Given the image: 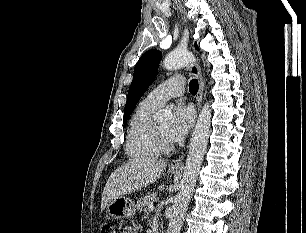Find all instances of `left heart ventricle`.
Masks as SVG:
<instances>
[{"mask_svg":"<svg viewBox=\"0 0 306 233\" xmlns=\"http://www.w3.org/2000/svg\"><path fill=\"white\" fill-rule=\"evenodd\" d=\"M158 128V130L167 138H168V132L170 129V124L166 123V124H160L156 126Z\"/></svg>","mask_w":306,"mask_h":233,"instance_id":"left-heart-ventricle-1","label":"left heart ventricle"}]
</instances>
